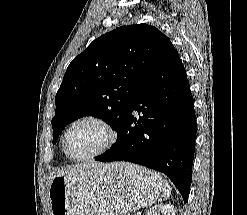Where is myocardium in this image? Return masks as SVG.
<instances>
[{
  "label": "myocardium",
  "mask_w": 247,
  "mask_h": 215,
  "mask_svg": "<svg viewBox=\"0 0 247 215\" xmlns=\"http://www.w3.org/2000/svg\"><path fill=\"white\" fill-rule=\"evenodd\" d=\"M87 121L93 122V123L99 125L106 132L107 139H106L105 143L103 144V146L101 148H99L97 151H95V152H93L87 156H84V157H74L68 151V147H67L68 135L75 125H77L81 122H87ZM116 137H117V135H116L115 129L107 120H105L104 118L97 116V115L87 114V115H83V116L76 118L74 121H72L70 123V125L67 127V129L65 130V133L63 135L62 145H63V149H64L66 156L68 158H70L71 160L77 161V162L87 161V160H91L94 158H98V157L104 155L105 153H107L115 144Z\"/></svg>",
  "instance_id": "f54148a6"
}]
</instances>
